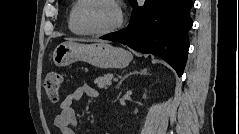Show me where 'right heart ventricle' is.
<instances>
[{"mask_svg": "<svg viewBox=\"0 0 239 134\" xmlns=\"http://www.w3.org/2000/svg\"><path fill=\"white\" fill-rule=\"evenodd\" d=\"M82 0L74 1L68 15V27L70 31L77 35H83L84 32L81 30V28L78 26L76 21V13L78 10L79 5L81 4Z\"/></svg>", "mask_w": 239, "mask_h": 134, "instance_id": "right-heart-ventricle-1", "label": "right heart ventricle"}]
</instances>
